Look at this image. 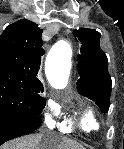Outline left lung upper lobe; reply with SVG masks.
Masks as SVG:
<instances>
[{
	"instance_id": "1",
	"label": "left lung upper lobe",
	"mask_w": 124,
	"mask_h": 149,
	"mask_svg": "<svg viewBox=\"0 0 124 149\" xmlns=\"http://www.w3.org/2000/svg\"><path fill=\"white\" fill-rule=\"evenodd\" d=\"M73 34L81 44L78 55V91L95 101L102 112L106 113L110 106L111 77L108 73L107 56L99 45L101 34L86 28L75 30Z\"/></svg>"
}]
</instances>
